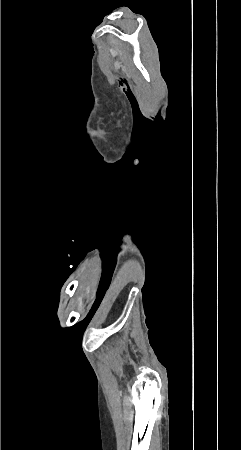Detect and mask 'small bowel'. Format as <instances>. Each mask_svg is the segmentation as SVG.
Here are the masks:
<instances>
[{
	"label": "small bowel",
	"mask_w": 241,
	"mask_h": 450,
	"mask_svg": "<svg viewBox=\"0 0 241 450\" xmlns=\"http://www.w3.org/2000/svg\"><path fill=\"white\" fill-rule=\"evenodd\" d=\"M115 316H116V317H120V316H121V313H120V312H116V313H115Z\"/></svg>",
	"instance_id": "c3829d8e"
}]
</instances>
